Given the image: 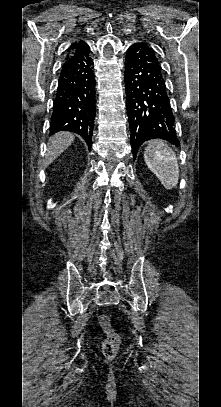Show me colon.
Returning <instances> with one entry per match:
<instances>
[{"mask_svg":"<svg viewBox=\"0 0 221 407\" xmlns=\"http://www.w3.org/2000/svg\"><path fill=\"white\" fill-rule=\"evenodd\" d=\"M99 325L103 332L106 334L102 345L103 354L106 358L111 359L116 355L120 346V335L112 327L110 319L105 315H101L99 317Z\"/></svg>","mask_w":221,"mask_h":407,"instance_id":"colon-1","label":"colon"}]
</instances>
